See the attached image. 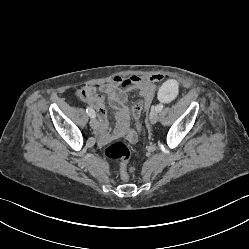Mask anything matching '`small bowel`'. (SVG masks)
Masks as SVG:
<instances>
[{
	"instance_id": "small-bowel-1",
	"label": "small bowel",
	"mask_w": 249,
	"mask_h": 249,
	"mask_svg": "<svg viewBox=\"0 0 249 249\" xmlns=\"http://www.w3.org/2000/svg\"><path fill=\"white\" fill-rule=\"evenodd\" d=\"M163 80L161 75H154L151 77L117 76L112 81L103 84L99 87L84 86L78 95L81 100L88 103L98 115V133L102 141L118 138L123 135L134 143L136 136L134 131L130 128V109L128 92L131 89H138L140 95L149 104L155 94L154 84H159ZM98 91L106 95L110 107L115 112L116 127L113 132L109 130V122L105 109V97L98 94Z\"/></svg>"
}]
</instances>
